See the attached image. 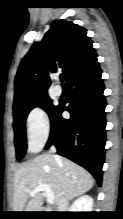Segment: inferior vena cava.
<instances>
[{"label": "inferior vena cava", "instance_id": "inferior-vena-cava-1", "mask_svg": "<svg viewBox=\"0 0 123 219\" xmlns=\"http://www.w3.org/2000/svg\"><path fill=\"white\" fill-rule=\"evenodd\" d=\"M50 152L51 153H55L56 152V148L55 146H52L50 148ZM67 208H68V198L66 196H63L60 200V203H59V212H66L67 211Z\"/></svg>", "mask_w": 123, "mask_h": 219}]
</instances>
